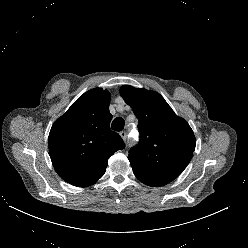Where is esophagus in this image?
I'll list each match as a JSON object with an SVG mask.
<instances>
[{"instance_id": "obj_1", "label": "esophagus", "mask_w": 248, "mask_h": 248, "mask_svg": "<svg viewBox=\"0 0 248 248\" xmlns=\"http://www.w3.org/2000/svg\"><path fill=\"white\" fill-rule=\"evenodd\" d=\"M120 136L126 142V140H127V132L126 131H121Z\"/></svg>"}]
</instances>
